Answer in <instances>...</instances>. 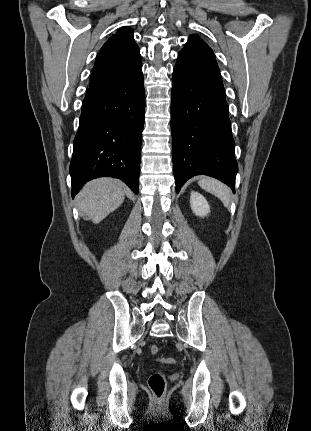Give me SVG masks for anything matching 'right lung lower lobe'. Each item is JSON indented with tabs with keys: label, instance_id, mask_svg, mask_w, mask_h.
Returning <instances> with one entry per match:
<instances>
[{
	"label": "right lung lower lobe",
	"instance_id": "right-lung-lower-lobe-1",
	"mask_svg": "<svg viewBox=\"0 0 311 431\" xmlns=\"http://www.w3.org/2000/svg\"><path fill=\"white\" fill-rule=\"evenodd\" d=\"M144 113L142 64L124 78L89 87L73 143L72 197L103 176L119 178L138 193Z\"/></svg>",
	"mask_w": 311,
	"mask_h": 431
}]
</instances>
